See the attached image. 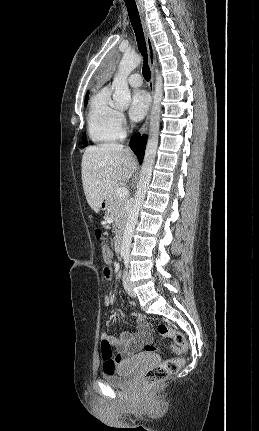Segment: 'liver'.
Returning a JSON list of instances; mask_svg holds the SVG:
<instances>
[{"label":"liver","instance_id":"6515ba94","mask_svg":"<svg viewBox=\"0 0 259 431\" xmlns=\"http://www.w3.org/2000/svg\"><path fill=\"white\" fill-rule=\"evenodd\" d=\"M82 183L89 206L97 213L100 204L118 182H127L137 163L131 152L118 143L86 148L82 157Z\"/></svg>","mask_w":259,"mask_h":431}]
</instances>
